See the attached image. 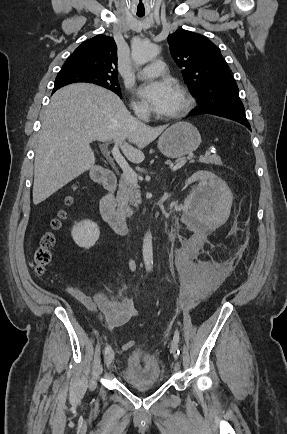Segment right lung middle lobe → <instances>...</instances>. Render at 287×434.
Listing matches in <instances>:
<instances>
[{
    "mask_svg": "<svg viewBox=\"0 0 287 434\" xmlns=\"http://www.w3.org/2000/svg\"><path fill=\"white\" fill-rule=\"evenodd\" d=\"M77 82L92 83L103 86L115 92L119 97H122L117 76L93 73L77 68H62L55 79V86L62 87Z\"/></svg>",
    "mask_w": 287,
    "mask_h": 434,
    "instance_id": "dd1d6c3e",
    "label": "right lung middle lobe"
}]
</instances>
